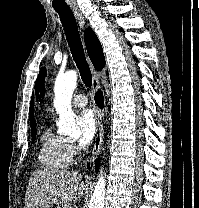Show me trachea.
<instances>
[{
	"mask_svg": "<svg viewBox=\"0 0 199 208\" xmlns=\"http://www.w3.org/2000/svg\"><path fill=\"white\" fill-rule=\"evenodd\" d=\"M64 27L72 57L77 65L81 79L87 87L92 86V74L86 61L82 41L78 31L76 19L71 9H56Z\"/></svg>",
	"mask_w": 199,
	"mask_h": 208,
	"instance_id": "1",
	"label": "trachea"
}]
</instances>
